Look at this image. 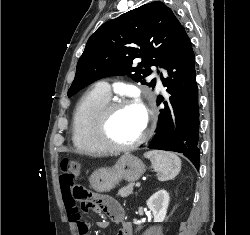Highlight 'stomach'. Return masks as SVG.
<instances>
[{"mask_svg":"<svg viewBox=\"0 0 250 235\" xmlns=\"http://www.w3.org/2000/svg\"><path fill=\"white\" fill-rule=\"evenodd\" d=\"M144 163L136 156L126 153L110 168L96 170L91 178V187L99 193L110 192L122 180L137 181L145 172Z\"/></svg>","mask_w":250,"mask_h":235,"instance_id":"stomach-1","label":"stomach"}]
</instances>
